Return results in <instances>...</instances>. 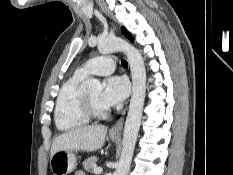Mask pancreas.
Segmentation results:
<instances>
[{"mask_svg": "<svg viewBox=\"0 0 233 175\" xmlns=\"http://www.w3.org/2000/svg\"><path fill=\"white\" fill-rule=\"evenodd\" d=\"M98 158L96 156H91L83 162V167L87 172H92L96 167V162Z\"/></svg>", "mask_w": 233, "mask_h": 175, "instance_id": "pancreas-1", "label": "pancreas"}]
</instances>
